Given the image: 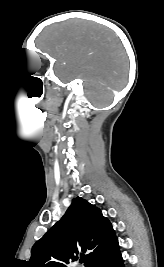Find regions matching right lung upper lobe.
Wrapping results in <instances>:
<instances>
[{
  "instance_id": "1",
  "label": "right lung upper lobe",
  "mask_w": 164,
  "mask_h": 267,
  "mask_svg": "<svg viewBox=\"0 0 164 267\" xmlns=\"http://www.w3.org/2000/svg\"><path fill=\"white\" fill-rule=\"evenodd\" d=\"M119 248L112 224L81 197L72 200L64 216L32 247L29 267H66L87 252L86 267ZM82 255V254H81Z\"/></svg>"
}]
</instances>
